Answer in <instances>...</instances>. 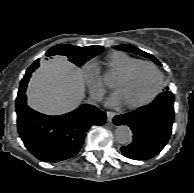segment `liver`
<instances>
[{
	"instance_id": "liver-1",
	"label": "liver",
	"mask_w": 194,
	"mask_h": 193,
	"mask_svg": "<svg viewBox=\"0 0 194 193\" xmlns=\"http://www.w3.org/2000/svg\"><path fill=\"white\" fill-rule=\"evenodd\" d=\"M83 97L81 70L63 58L44 62L33 74L27 89L28 105L48 115L72 111Z\"/></svg>"
}]
</instances>
